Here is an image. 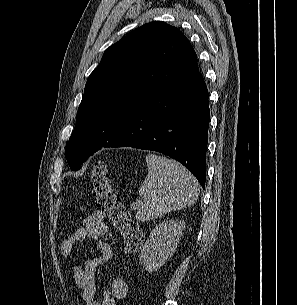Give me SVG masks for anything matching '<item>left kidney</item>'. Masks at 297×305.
Returning a JSON list of instances; mask_svg holds the SVG:
<instances>
[{
    "label": "left kidney",
    "instance_id": "obj_1",
    "mask_svg": "<svg viewBox=\"0 0 297 305\" xmlns=\"http://www.w3.org/2000/svg\"><path fill=\"white\" fill-rule=\"evenodd\" d=\"M184 229L183 220H168L154 228L139 257L146 271H157L165 264L174 254Z\"/></svg>",
    "mask_w": 297,
    "mask_h": 305
}]
</instances>
